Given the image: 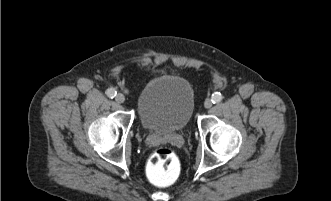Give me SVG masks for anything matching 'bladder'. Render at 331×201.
<instances>
[{"label":"bladder","instance_id":"obj_1","mask_svg":"<svg viewBox=\"0 0 331 201\" xmlns=\"http://www.w3.org/2000/svg\"><path fill=\"white\" fill-rule=\"evenodd\" d=\"M136 108L141 126L160 135L182 131L195 108L191 84L178 76L159 75L140 90Z\"/></svg>","mask_w":331,"mask_h":201}]
</instances>
